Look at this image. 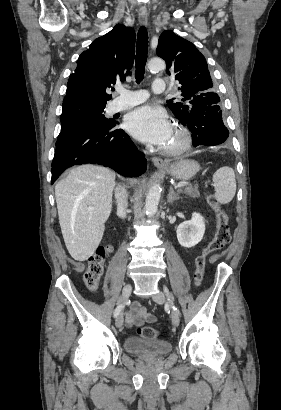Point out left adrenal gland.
Segmentation results:
<instances>
[{"label": "left adrenal gland", "mask_w": 281, "mask_h": 410, "mask_svg": "<svg viewBox=\"0 0 281 410\" xmlns=\"http://www.w3.org/2000/svg\"><path fill=\"white\" fill-rule=\"evenodd\" d=\"M175 200H179V195L174 192L173 187H170V191L167 197L168 203H173Z\"/></svg>", "instance_id": "1"}]
</instances>
